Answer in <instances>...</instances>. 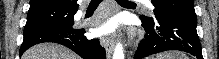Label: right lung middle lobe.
Returning <instances> with one entry per match:
<instances>
[{"mask_svg": "<svg viewBox=\"0 0 219 59\" xmlns=\"http://www.w3.org/2000/svg\"><path fill=\"white\" fill-rule=\"evenodd\" d=\"M75 11L47 9L28 12L24 35L47 28L66 27L74 24Z\"/></svg>", "mask_w": 219, "mask_h": 59, "instance_id": "right-lung-middle-lobe-1", "label": "right lung middle lobe"}]
</instances>
